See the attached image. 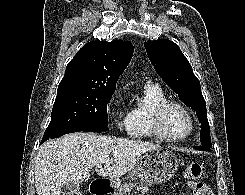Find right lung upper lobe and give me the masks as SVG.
Instances as JSON below:
<instances>
[{
    "mask_svg": "<svg viewBox=\"0 0 245 195\" xmlns=\"http://www.w3.org/2000/svg\"><path fill=\"white\" fill-rule=\"evenodd\" d=\"M133 45L124 40L86 43L68 63L57 93L98 90L114 93L120 74L129 64Z\"/></svg>",
    "mask_w": 245,
    "mask_h": 195,
    "instance_id": "right-lung-upper-lobe-1",
    "label": "right lung upper lobe"
}]
</instances>
